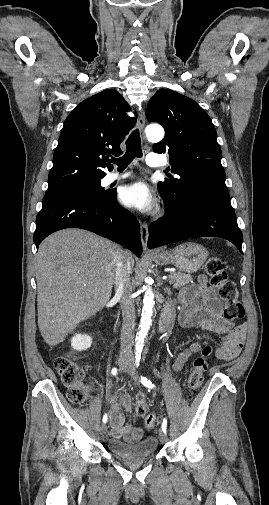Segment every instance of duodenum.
Returning <instances> with one entry per match:
<instances>
[{
    "mask_svg": "<svg viewBox=\"0 0 269 505\" xmlns=\"http://www.w3.org/2000/svg\"><path fill=\"white\" fill-rule=\"evenodd\" d=\"M171 321H172V313H171L170 309H165L162 312L161 317H160L159 325H160L161 331L166 332L171 325Z\"/></svg>",
    "mask_w": 269,
    "mask_h": 505,
    "instance_id": "410a0bca",
    "label": "duodenum"
}]
</instances>
